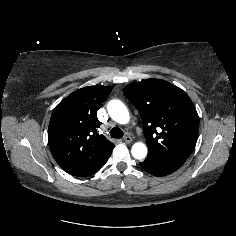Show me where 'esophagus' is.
Listing matches in <instances>:
<instances>
[{
    "label": "esophagus",
    "instance_id": "34e87169",
    "mask_svg": "<svg viewBox=\"0 0 236 236\" xmlns=\"http://www.w3.org/2000/svg\"><path fill=\"white\" fill-rule=\"evenodd\" d=\"M123 140L126 142V143H131L132 142V138L130 136H125L123 138Z\"/></svg>",
    "mask_w": 236,
    "mask_h": 236
}]
</instances>
